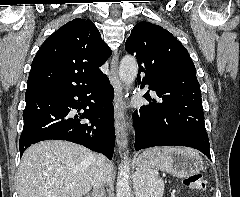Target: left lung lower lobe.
<instances>
[{"mask_svg": "<svg viewBox=\"0 0 240 197\" xmlns=\"http://www.w3.org/2000/svg\"><path fill=\"white\" fill-rule=\"evenodd\" d=\"M143 84H149L148 80ZM144 97L151 102L133 114L135 150L154 146H186L201 151L211 160L201 92L181 90L172 95H160L159 100L152 99L147 92Z\"/></svg>", "mask_w": 240, "mask_h": 197, "instance_id": "1", "label": "left lung lower lobe"}]
</instances>
